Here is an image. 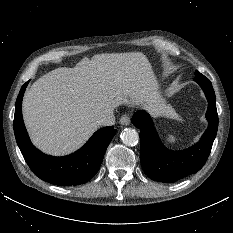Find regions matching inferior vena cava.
Listing matches in <instances>:
<instances>
[{
  "mask_svg": "<svg viewBox=\"0 0 233 233\" xmlns=\"http://www.w3.org/2000/svg\"><path fill=\"white\" fill-rule=\"evenodd\" d=\"M115 123V117L112 112L105 113L97 119L98 125L111 126Z\"/></svg>",
  "mask_w": 233,
  "mask_h": 233,
  "instance_id": "1",
  "label": "inferior vena cava"
}]
</instances>
